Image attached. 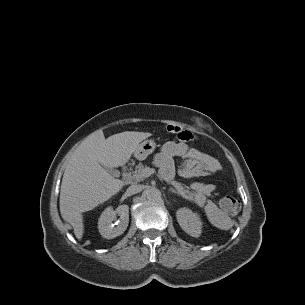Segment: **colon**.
I'll use <instances>...</instances> for the list:
<instances>
[{
	"label": "colon",
	"mask_w": 305,
	"mask_h": 305,
	"mask_svg": "<svg viewBox=\"0 0 305 305\" xmlns=\"http://www.w3.org/2000/svg\"><path fill=\"white\" fill-rule=\"evenodd\" d=\"M166 130L171 134L177 135L179 138H184L186 136V132L177 125H168ZM220 206L227 216L233 217L238 213L240 203L232 196H225L221 199Z\"/></svg>",
	"instance_id": "1"
}]
</instances>
